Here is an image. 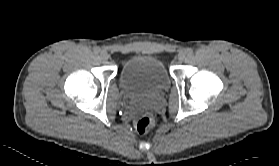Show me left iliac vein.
Masks as SVG:
<instances>
[{"label": "left iliac vein", "instance_id": "1", "mask_svg": "<svg viewBox=\"0 0 279 166\" xmlns=\"http://www.w3.org/2000/svg\"><path fill=\"white\" fill-rule=\"evenodd\" d=\"M186 58V53L184 51H180L178 54L179 61H183Z\"/></svg>", "mask_w": 279, "mask_h": 166}]
</instances>
